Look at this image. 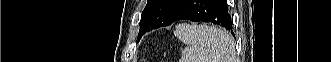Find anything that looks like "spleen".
Instances as JSON below:
<instances>
[{"mask_svg":"<svg viewBox=\"0 0 331 62\" xmlns=\"http://www.w3.org/2000/svg\"><path fill=\"white\" fill-rule=\"evenodd\" d=\"M174 35L186 47L180 62H236V52L230 33L216 27L179 24Z\"/></svg>","mask_w":331,"mask_h":62,"instance_id":"obj_1","label":"spleen"}]
</instances>
